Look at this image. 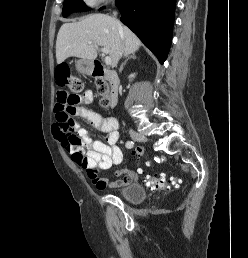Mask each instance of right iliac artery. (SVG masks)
Segmentation results:
<instances>
[{"instance_id": "1", "label": "right iliac artery", "mask_w": 248, "mask_h": 258, "mask_svg": "<svg viewBox=\"0 0 248 258\" xmlns=\"http://www.w3.org/2000/svg\"><path fill=\"white\" fill-rule=\"evenodd\" d=\"M133 146H134V142L133 141H127V143H126V147L127 148H133Z\"/></svg>"}]
</instances>
